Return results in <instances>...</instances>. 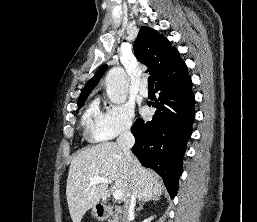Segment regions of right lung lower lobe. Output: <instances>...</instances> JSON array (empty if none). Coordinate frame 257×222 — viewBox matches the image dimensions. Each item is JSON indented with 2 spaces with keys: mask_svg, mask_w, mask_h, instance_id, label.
Returning <instances> with one entry per match:
<instances>
[{
  "mask_svg": "<svg viewBox=\"0 0 257 222\" xmlns=\"http://www.w3.org/2000/svg\"><path fill=\"white\" fill-rule=\"evenodd\" d=\"M159 98L152 121L138 118L131 128L135 137L132 152L141 164L156 171L173 198L182 174V158L192 133L194 93L187 73L155 84Z\"/></svg>",
  "mask_w": 257,
  "mask_h": 222,
  "instance_id": "98d812e1",
  "label": "right lung lower lobe"
}]
</instances>
